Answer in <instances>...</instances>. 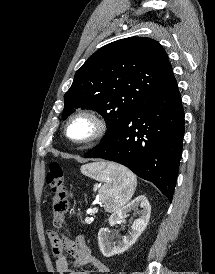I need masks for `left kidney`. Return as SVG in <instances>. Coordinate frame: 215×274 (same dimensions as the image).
<instances>
[{
	"label": "left kidney",
	"instance_id": "obj_1",
	"mask_svg": "<svg viewBox=\"0 0 215 274\" xmlns=\"http://www.w3.org/2000/svg\"><path fill=\"white\" fill-rule=\"evenodd\" d=\"M138 206H140L142 210L139 211ZM131 210L137 211L139 217L133 222L128 235L122 237L111 235L108 228H101L99 230L98 244L103 256L111 257L125 252L137 241L146 229L150 219L151 206L144 195L138 196L127 205L115 211L109 218V224L111 226L115 225L118 221L124 219Z\"/></svg>",
	"mask_w": 215,
	"mask_h": 274
}]
</instances>
